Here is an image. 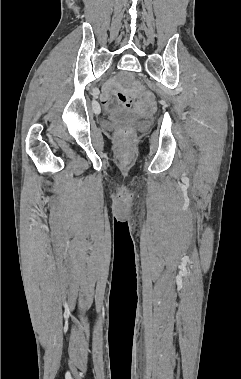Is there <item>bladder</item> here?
Here are the masks:
<instances>
[{
  "label": "bladder",
  "instance_id": "1",
  "mask_svg": "<svg viewBox=\"0 0 241 379\" xmlns=\"http://www.w3.org/2000/svg\"><path fill=\"white\" fill-rule=\"evenodd\" d=\"M109 119L113 122H132L138 119V116L128 110H115L109 113Z\"/></svg>",
  "mask_w": 241,
  "mask_h": 379
}]
</instances>
